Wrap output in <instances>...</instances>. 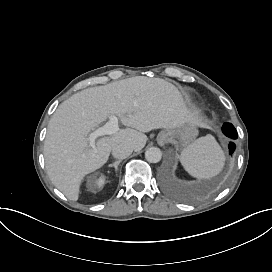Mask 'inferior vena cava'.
Masks as SVG:
<instances>
[{"mask_svg": "<svg viewBox=\"0 0 272 272\" xmlns=\"http://www.w3.org/2000/svg\"><path fill=\"white\" fill-rule=\"evenodd\" d=\"M133 151V148L127 144L119 143L112 148V154L115 158L124 159Z\"/></svg>", "mask_w": 272, "mask_h": 272, "instance_id": "inferior-vena-cava-1", "label": "inferior vena cava"}]
</instances>
